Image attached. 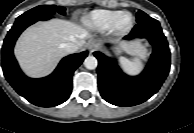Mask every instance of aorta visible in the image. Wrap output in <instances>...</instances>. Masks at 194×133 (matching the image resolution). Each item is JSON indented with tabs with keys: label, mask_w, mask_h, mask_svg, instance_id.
<instances>
[{
	"label": "aorta",
	"mask_w": 194,
	"mask_h": 133,
	"mask_svg": "<svg viewBox=\"0 0 194 133\" xmlns=\"http://www.w3.org/2000/svg\"><path fill=\"white\" fill-rule=\"evenodd\" d=\"M98 61L94 56H88L84 60V66L87 69L93 70L97 67Z\"/></svg>",
	"instance_id": "obj_1"
}]
</instances>
